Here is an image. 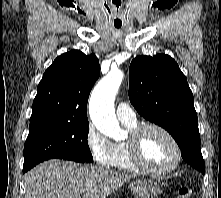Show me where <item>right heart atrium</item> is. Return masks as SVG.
I'll list each match as a JSON object with an SVG mask.
<instances>
[{"label":"right heart atrium","mask_w":221,"mask_h":198,"mask_svg":"<svg viewBox=\"0 0 221 198\" xmlns=\"http://www.w3.org/2000/svg\"><path fill=\"white\" fill-rule=\"evenodd\" d=\"M85 143L93 160L101 166H110L113 143L109 141L92 123L85 133Z\"/></svg>","instance_id":"obj_1"}]
</instances>
